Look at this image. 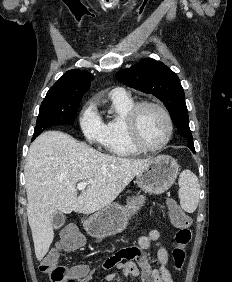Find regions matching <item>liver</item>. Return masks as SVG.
<instances>
[{"label":"liver","instance_id":"1","mask_svg":"<svg viewBox=\"0 0 232 282\" xmlns=\"http://www.w3.org/2000/svg\"><path fill=\"white\" fill-rule=\"evenodd\" d=\"M149 160L109 156L58 130L38 136L25 166L27 215L36 258L42 260L53 241L55 212L90 214L106 208ZM80 182L88 185L77 196Z\"/></svg>","mask_w":232,"mask_h":282}]
</instances>
